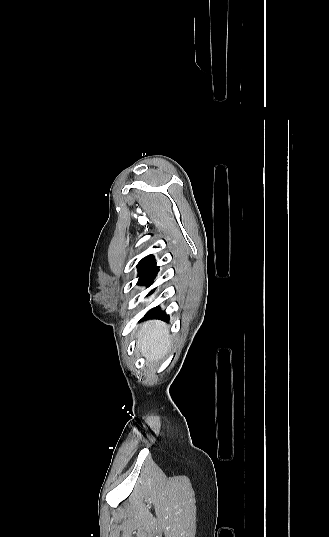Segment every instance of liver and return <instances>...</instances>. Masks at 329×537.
<instances>
[{
    "label": "liver",
    "mask_w": 329,
    "mask_h": 537,
    "mask_svg": "<svg viewBox=\"0 0 329 537\" xmlns=\"http://www.w3.org/2000/svg\"><path fill=\"white\" fill-rule=\"evenodd\" d=\"M169 329L162 321H150L141 326L138 332L137 348L146 356L147 360L161 359L170 348Z\"/></svg>",
    "instance_id": "obj_1"
}]
</instances>
